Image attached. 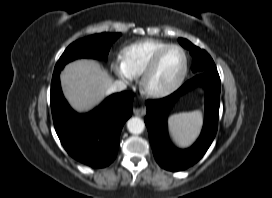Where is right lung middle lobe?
<instances>
[{
    "mask_svg": "<svg viewBox=\"0 0 272 198\" xmlns=\"http://www.w3.org/2000/svg\"><path fill=\"white\" fill-rule=\"evenodd\" d=\"M120 35V33H101L73 42L56 63L53 74H59L66 63L77 58L105 59L112 43Z\"/></svg>",
    "mask_w": 272,
    "mask_h": 198,
    "instance_id": "obj_1",
    "label": "right lung middle lobe"
}]
</instances>
